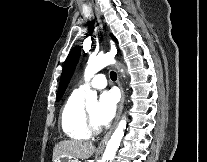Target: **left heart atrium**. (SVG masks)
Returning <instances> with one entry per match:
<instances>
[{
  "label": "left heart atrium",
  "instance_id": "39dd6f15",
  "mask_svg": "<svg viewBox=\"0 0 207 162\" xmlns=\"http://www.w3.org/2000/svg\"><path fill=\"white\" fill-rule=\"evenodd\" d=\"M118 106V96L114 90L105 91L100 95L97 109V121L104 126L111 122Z\"/></svg>",
  "mask_w": 207,
  "mask_h": 162
}]
</instances>
